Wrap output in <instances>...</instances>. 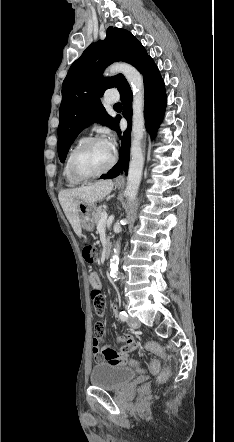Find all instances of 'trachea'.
<instances>
[{
  "label": "trachea",
  "instance_id": "trachea-1",
  "mask_svg": "<svg viewBox=\"0 0 234 442\" xmlns=\"http://www.w3.org/2000/svg\"><path fill=\"white\" fill-rule=\"evenodd\" d=\"M114 107H122V104L121 103H117V104L114 105Z\"/></svg>",
  "mask_w": 234,
  "mask_h": 442
}]
</instances>
